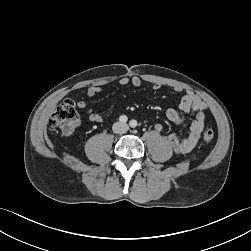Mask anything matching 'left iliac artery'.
I'll list each match as a JSON object with an SVG mask.
<instances>
[{
	"instance_id": "left-iliac-artery-1",
	"label": "left iliac artery",
	"mask_w": 251,
	"mask_h": 251,
	"mask_svg": "<svg viewBox=\"0 0 251 251\" xmlns=\"http://www.w3.org/2000/svg\"><path fill=\"white\" fill-rule=\"evenodd\" d=\"M129 125L132 127V128H135L137 126V121L136 120H131L129 122Z\"/></svg>"
}]
</instances>
